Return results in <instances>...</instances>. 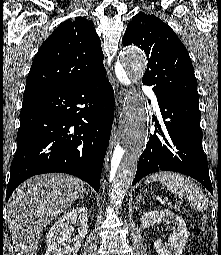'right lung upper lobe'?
Segmentation results:
<instances>
[{"instance_id":"right-lung-upper-lobe-1","label":"right lung upper lobe","mask_w":221,"mask_h":255,"mask_svg":"<svg viewBox=\"0 0 221 255\" xmlns=\"http://www.w3.org/2000/svg\"><path fill=\"white\" fill-rule=\"evenodd\" d=\"M103 58L93 22L84 17L66 20L38 50L24 97L79 84L105 72Z\"/></svg>"}]
</instances>
